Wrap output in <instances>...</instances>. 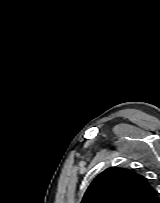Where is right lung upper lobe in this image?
Listing matches in <instances>:
<instances>
[{"label":"right lung upper lobe","instance_id":"1","mask_svg":"<svg viewBox=\"0 0 160 203\" xmlns=\"http://www.w3.org/2000/svg\"><path fill=\"white\" fill-rule=\"evenodd\" d=\"M157 193L147 179L128 169L108 168L88 187L81 203H154Z\"/></svg>","mask_w":160,"mask_h":203}]
</instances>
